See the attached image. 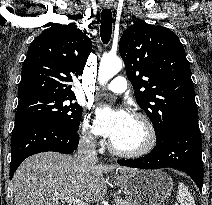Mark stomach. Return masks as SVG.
I'll return each instance as SVG.
<instances>
[{
  "instance_id": "obj_1",
  "label": "stomach",
  "mask_w": 212,
  "mask_h": 205,
  "mask_svg": "<svg viewBox=\"0 0 212 205\" xmlns=\"http://www.w3.org/2000/svg\"><path fill=\"white\" fill-rule=\"evenodd\" d=\"M116 184L133 205H161L173 190V180L160 170H137L115 176Z\"/></svg>"
}]
</instances>
